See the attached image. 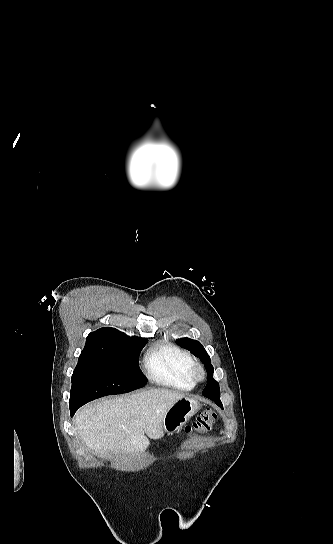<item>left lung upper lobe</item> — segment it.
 Instances as JSON below:
<instances>
[{
  "mask_svg": "<svg viewBox=\"0 0 333 544\" xmlns=\"http://www.w3.org/2000/svg\"><path fill=\"white\" fill-rule=\"evenodd\" d=\"M177 343L180 344L183 348L189 350L193 355L196 357H199V359L204 364L206 370H207V380L208 383L203 390V393H212V392H220L219 390V383L215 381L212 377L213 375V366L211 365V360L203 346L200 344V342L196 340H192L189 338H182L178 339Z\"/></svg>",
  "mask_w": 333,
  "mask_h": 544,
  "instance_id": "obj_1",
  "label": "left lung upper lobe"
}]
</instances>
